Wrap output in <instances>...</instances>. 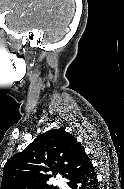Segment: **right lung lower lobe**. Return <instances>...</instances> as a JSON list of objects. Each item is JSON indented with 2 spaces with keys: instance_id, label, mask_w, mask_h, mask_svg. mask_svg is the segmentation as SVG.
I'll return each mask as SVG.
<instances>
[{
  "instance_id": "obj_1",
  "label": "right lung lower lobe",
  "mask_w": 124,
  "mask_h": 189,
  "mask_svg": "<svg viewBox=\"0 0 124 189\" xmlns=\"http://www.w3.org/2000/svg\"><path fill=\"white\" fill-rule=\"evenodd\" d=\"M68 179L69 182L67 184L71 189H100L97 175L91 162Z\"/></svg>"
}]
</instances>
